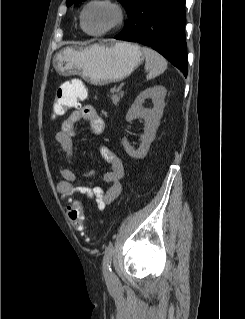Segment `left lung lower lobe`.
Here are the masks:
<instances>
[{
	"mask_svg": "<svg viewBox=\"0 0 245 319\" xmlns=\"http://www.w3.org/2000/svg\"><path fill=\"white\" fill-rule=\"evenodd\" d=\"M186 0H139L124 29L114 38L158 51L187 76Z\"/></svg>",
	"mask_w": 245,
	"mask_h": 319,
	"instance_id": "obj_1",
	"label": "left lung lower lobe"
}]
</instances>
